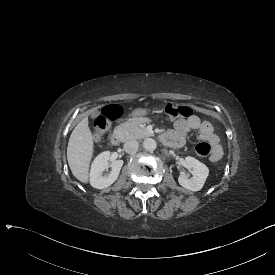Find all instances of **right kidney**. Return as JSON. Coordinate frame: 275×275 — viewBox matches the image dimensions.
<instances>
[{
  "label": "right kidney",
  "mask_w": 275,
  "mask_h": 275,
  "mask_svg": "<svg viewBox=\"0 0 275 275\" xmlns=\"http://www.w3.org/2000/svg\"><path fill=\"white\" fill-rule=\"evenodd\" d=\"M110 152L100 154L94 161L90 174V183L92 187L103 190L110 187L119 177L123 166V160H114L109 164ZM112 169L109 176H103V173Z\"/></svg>",
  "instance_id": "obj_1"
}]
</instances>
